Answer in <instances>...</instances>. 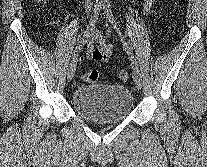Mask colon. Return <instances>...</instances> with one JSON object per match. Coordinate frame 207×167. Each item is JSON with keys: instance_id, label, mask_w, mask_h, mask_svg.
Listing matches in <instances>:
<instances>
[{"instance_id": "obj_1", "label": "colon", "mask_w": 207, "mask_h": 167, "mask_svg": "<svg viewBox=\"0 0 207 167\" xmlns=\"http://www.w3.org/2000/svg\"><path fill=\"white\" fill-rule=\"evenodd\" d=\"M39 1H44V0H39ZM118 78L122 81H126L129 78V72L127 70H120L118 72ZM83 79L85 81H89V82H98L100 80V75L98 73V71L96 70H92L90 72H87L83 75Z\"/></svg>"}]
</instances>
